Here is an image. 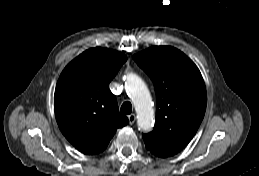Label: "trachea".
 <instances>
[{
    "mask_svg": "<svg viewBox=\"0 0 259 176\" xmlns=\"http://www.w3.org/2000/svg\"><path fill=\"white\" fill-rule=\"evenodd\" d=\"M121 112L123 114H131L132 112V105L130 102H124L121 106Z\"/></svg>",
    "mask_w": 259,
    "mask_h": 176,
    "instance_id": "trachea-1",
    "label": "trachea"
}]
</instances>
